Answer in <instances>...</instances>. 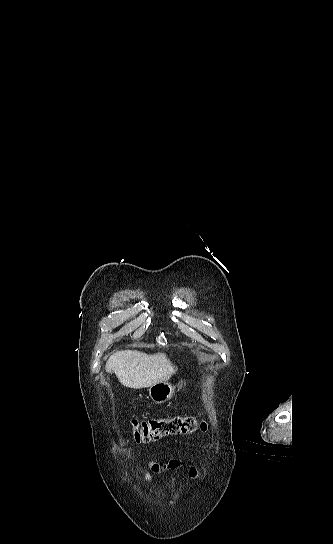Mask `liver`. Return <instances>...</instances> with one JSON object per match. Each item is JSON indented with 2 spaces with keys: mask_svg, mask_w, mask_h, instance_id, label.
<instances>
[{
  "mask_svg": "<svg viewBox=\"0 0 333 544\" xmlns=\"http://www.w3.org/2000/svg\"><path fill=\"white\" fill-rule=\"evenodd\" d=\"M106 371L115 373L119 382L128 388L141 389L164 382L176 373L177 368L164 353L153 355L125 350L111 355Z\"/></svg>",
  "mask_w": 333,
  "mask_h": 544,
  "instance_id": "6515ba94",
  "label": "liver"
}]
</instances>
